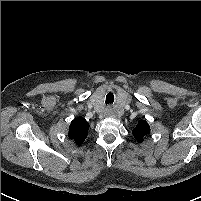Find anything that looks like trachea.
Returning <instances> with one entry per match:
<instances>
[{"mask_svg":"<svg viewBox=\"0 0 201 201\" xmlns=\"http://www.w3.org/2000/svg\"><path fill=\"white\" fill-rule=\"evenodd\" d=\"M113 102H114V95L112 93H108L105 99L106 105L112 104Z\"/></svg>","mask_w":201,"mask_h":201,"instance_id":"3493384b","label":"trachea"}]
</instances>
